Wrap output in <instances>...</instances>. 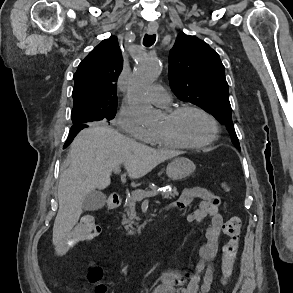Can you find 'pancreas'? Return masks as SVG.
Wrapping results in <instances>:
<instances>
[{"label":"pancreas","mask_w":293,"mask_h":293,"mask_svg":"<svg viewBox=\"0 0 293 293\" xmlns=\"http://www.w3.org/2000/svg\"><path fill=\"white\" fill-rule=\"evenodd\" d=\"M151 191H155L154 188L151 189ZM150 192L149 189H137L131 192V195L127 197L126 201V215H123V220L122 224L125 225V229L128 231V235H134L135 231L133 228V225H137L136 221H140V218L136 214V202L138 201L137 199V194L140 193H146ZM162 197L164 199H172L178 196V192L176 188L171 189L170 191L162 192L161 193ZM137 231H140V228H138Z\"/></svg>","instance_id":"obj_1"}]
</instances>
